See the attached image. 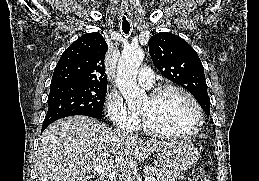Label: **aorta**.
Masks as SVG:
<instances>
[{"mask_svg": "<svg viewBox=\"0 0 259 181\" xmlns=\"http://www.w3.org/2000/svg\"><path fill=\"white\" fill-rule=\"evenodd\" d=\"M144 59L140 47H129L122 51L117 66V87L129 109L139 108L146 100L144 90L137 86V70Z\"/></svg>", "mask_w": 259, "mask_h": 181, "instance_id": "obj_1", "label": "aorta"}]
</instances>
